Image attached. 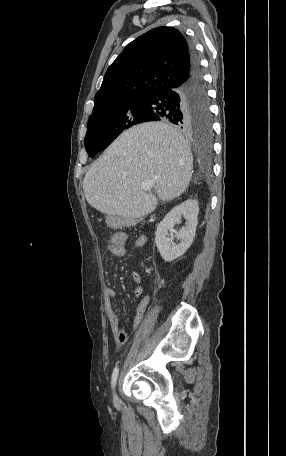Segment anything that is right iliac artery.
<instances>
[{
  "label": "right iliac artery",
  "instance_id": "right-iliac-artery-1",
  "mask_svg": "<svg viewBox=\"0 0 286 456\" xmlns=\"http://www.w3.org/2000/svg\"><path fill=\"white\" fill-rule=\"evenodd\" d=\"M118 374H119V368L118 367H115L114 370H113V373H112V378H111V384H112V387L114 388L115 385H116V381H117V378H118Z\"/></svg>",
  "mask_w": 286,
  "mask_h": 456
}]
</instances>
